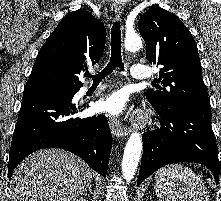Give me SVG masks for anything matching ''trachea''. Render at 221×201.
Listing matches in <instances>:
<instances>
[{
  "instance_id": "obj_1",
  "label": "trachea",
  "mask_w": 221,
  "mask_h": 201,
  "mask_svg": "<svg viewBox=\"0 0 221 201\" xmlns=\"http://www.w3.org/2000/svg\"><path fill=\"white\" fill-rule=\"evenodd\" d=\"M124 70V64L121 57V31L120 22L117 21L113 24L111 29V58L108 65L97 75L85 74L86 77L93 79L94 83H99L103 78L109 75L115 68Z\"/></svg>"
}]
</instances>
